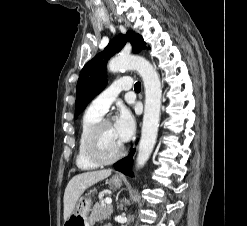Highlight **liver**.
<instances>
[{
    "label": "liver",
    "mask_w": 247,
    "mask_h": 226,
    "mask_svg": "<svg viewBox=\"0 0 247 226\" xmlns=\"http://www.w3.org/2000/svg\"><path fill=\"white\" fill-rule=\"evenodd\" d=\"M111 169L84 172L74 176L68 183L64 193V221L73 212L80 196L93 184L109 177Z\"/></svg>",
    "instance_id": "obj_1"
}]
</instances>
